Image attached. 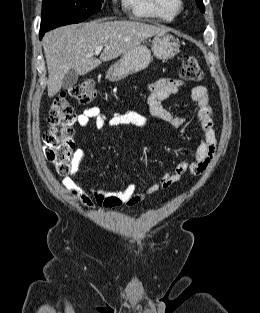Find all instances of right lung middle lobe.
<instances>
[{"label":"right lung middle lobe","mask_w":260,"mask_h":313,"mask_svg":"<svg viewBox=\"0 0 260 313\" xmlns=\"http://www.w3.org/2000/svg\"><path fill=\"white\" fill-rule=\"evenodd\" d=\"M103 0H43L40 29L79 23L101 9Z\"/></svg>","instance_id":"obj_1"}]
</instances>
